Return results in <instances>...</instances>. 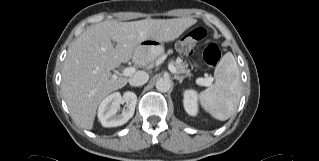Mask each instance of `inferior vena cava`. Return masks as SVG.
Segmentation results:
<instances>
[{
  "mask_svg": "<svg viewBox=\"0 0 319 161\" xmlns=\"http://www.w3.org/2000/svg\"><path fill=\"white\" fill-rule=\"evenodd\" d=\"M148 80H149V75L148 73L144 71H137L128 79L129 84L131 86H142L145 83H147Z\"/></svg>",
  "mask_w": 319,
  "mask_h": 161,
  "instance_id": "1",
  "label": "inferior vena cava"
}]
</instances>
